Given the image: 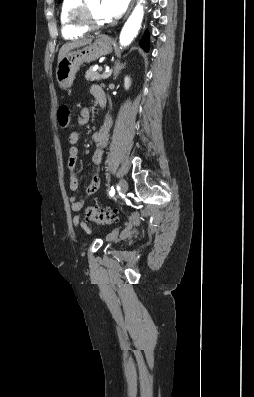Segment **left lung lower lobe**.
<instances>
[{"label": "left lung lower lobe", "mask_w": 254, "mask_h": 397, "mask_svg": "<svg viewBox=\"0 0 254 397\" xmlns=\"http://www.w3.org/2000/svg\"><path fill=\"white\" fill-rule=\"evenodd\" d=\"M140 44L143 47V49L148 52V50H149V35H148V32H145L142 40L140 41Z\"/></svg>", "instance_id": "left-lung-lower-lobe-1"}]
</instances>
